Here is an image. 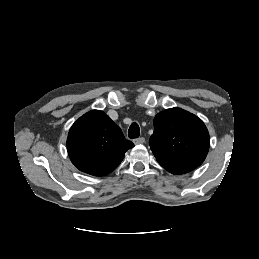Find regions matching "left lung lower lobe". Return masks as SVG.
<instances>
[{
  "mask_svg": "<svg viewBox=\"0 0 259 259\" xmlns=\"http://www.w3.org/2000/svg\"><path fill=\"white\" fill-rule=\"evenodd\" d=\"M160 165L163 168H165L167 171L175 175L184 174L195 169L193 167H188V166H174V165H166V164H160Z\"/></svg>",
  "mask_w": 259,
  "mask_h": 259,
  "instance_id": "0a47b994",
  "label": "left lung lower lobe"
}]
</instances>
